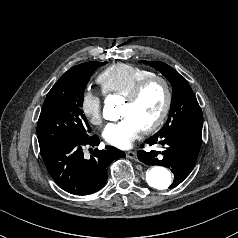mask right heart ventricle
<instances>
[{"mask_svg": "<svg viewBox=\"0 0 238 238\" xmlns=\"http://www.w3.org/2000/svg\"><path fill=\"white\" fill-rule=\"evenodd\" d=\"M150 70L124 63L107 67L97 77V82L105 94H115L126 98L142 80L153 76Z\"/></svg>", "mask_w": 238, "mask_h": 238, "instance_id": "1", "label": "right heart ventricle"}]
</instances>
